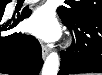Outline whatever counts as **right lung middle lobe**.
Returning a JSON list of instances; mask_svg holds the SVG:
<instances>
[{
  "label": "right lung middle lobe",
  "instance_id": "right-lung-middle-lobe-1",
  "mask_svg": "<svg viewBox=\"0 0 102 75\" xmlns=\"http://www.w3.org/2000/svg\"><path fill=\"white\" fill-rule=\"evenodd\" d=\"M4 5V0L0 1V7Z\"/></svg>",
  "mask_w": 102,
  "mask_h": 75
}]
</instances>
